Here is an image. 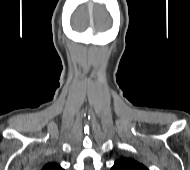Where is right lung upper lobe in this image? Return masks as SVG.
I'll return each instance as SVG.
<instances>
[{
    "label": "right lung upper lobe",
    "mask_w": 190,
    "mask_h": 170,
    "mask_svg": "<svg viewBox=\"0 0 190 170\" xmlns=\"http://www.w3.org/2000/svg\"><path fill=\"white\" fill-rule=\"evenodd\" d=\"M42 170H63V169L57 163H48L42 168Z\"/></svg>",
    "instance_id": "cb5924a9"
}]
</instances>
